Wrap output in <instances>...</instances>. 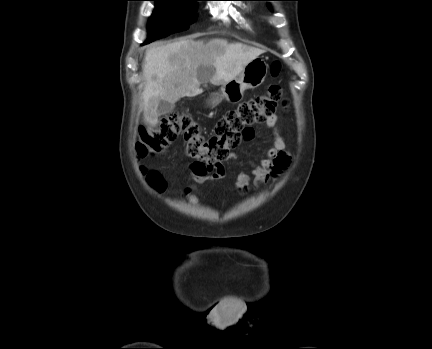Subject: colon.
Segmentation results:
<instances>
[{
  "label": "colon",
  "mask_w": 432,
  "mask_h": 349,
  "mask_svg": "<svg viewBox=\"0 0 432 349\" xmlns=\"http://www.w3.org/2000/svg\"><path fill=\"white\" fill-rule=\"evenodd\" d=\"M272 76H277L280 64L274 62L270 68ZM280 87L272 84L265 94L241 103L237 108L226 112L216 123L213 134L204 139L200 124L187 112H173L163 119L154 129L143 128L136 143L137 155L140 158L152 157L163 153L179 136L185 141V152L195 158L206 168L222 166L229 152L242 139L253 136L252 126L261 123L274 115L281 100ZM152 186L162 190L165 182L154 171L147 174Z\"/></svg>",
  "instance_id": "1"
}]
</instances>
